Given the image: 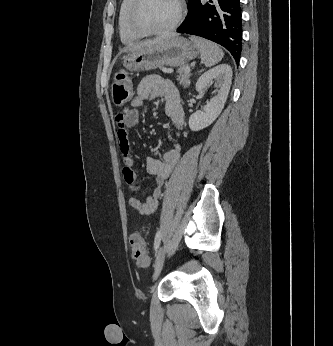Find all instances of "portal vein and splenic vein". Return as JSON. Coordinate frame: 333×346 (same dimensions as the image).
Returning a JSON list of instances; mask_svg holds the SVG:
<instances>
[{"label": "portal vein and splenic vein", "mask_w": 333, "mask_h": 346, "mask_svg": "<svg viewBox=\"0 0 333 346\" xmlns=\"http://www.w3.org/2000/svg\"><path fill=\"white\" fill-rule=\"evenodd\" d=\"M185 72H186V73H190V67H186V68H185Z\"/></svg>", "instance_id": "portal-vein-and-splenic-vein-1"}]
</instances>
